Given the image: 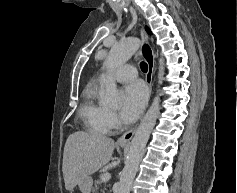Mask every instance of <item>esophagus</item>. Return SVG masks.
<instances>
[{"instance_id":"34e87169","label":"esophagus","mask_w":237,"mask_h":193,"mask_svg":"<svg viewBox=\"0 0 237 193\" xmlns=\"http://www.w3.org/2000/svg\"><path fill=\"white\" fill-rule=\"evenodd\" d=\"M140 36L142 39L141 44V52L147 62L148 65V72L146 75V82L149 87V94L152 92V79L154 74V67H155V54L153 52V49L149 43L148 35L144 28H141L140 30ZM135 132V128L128 130L125 132L118 140V145H128L130 143L131 138L133 137Z\"/></svg>"}]
</instances>
